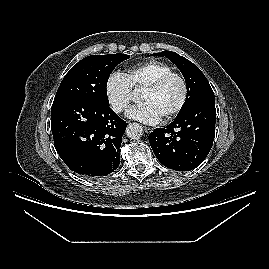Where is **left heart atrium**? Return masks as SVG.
I'll use <instances>...</instances> for the list:
<instances>
[{
  "label": "left heart atrium",
  "mask_w": 269,
  "mask_h": 269,
  "mask_svg": "<svg viewBox=\"0 0 269 269\" xmlns=\"http://www.w3.org/2000/svg\"><path fill=\"white\" fill-rule=\"evenodd\" d=\"M128 117L147 124H155L160 121L161 117L149 102H143L132 107L128 111Z\"/></svg>",
  "instance_id": "39dd6f15"
}]
</instances>
